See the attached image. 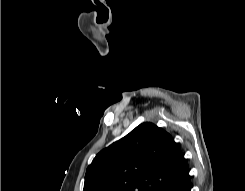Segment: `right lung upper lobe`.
I'll return each mask as SVG.
<instances>
[{
  "label": "right lung upper lobe",
  "mask_w": 245,
  "mask_h": 191,
  "mask_svg": "<svg viewBox=\"0 0 245 191\" xmlns=\"http://www.w3.org/2000/svg\"><path fill=\"white\" fill-rule=\"evenodd\" d=\"M187 172L171 135L146 122L97 154L83 191H160Z\"/></svg>",
  "instance_id": "obj_1"
}]
</instances>
